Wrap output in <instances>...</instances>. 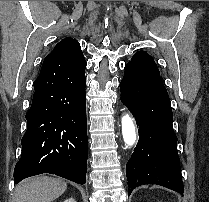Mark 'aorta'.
Segmentation results:
<instances>
[{"instance_id": "aorta-1", "label": "aorta", "mask_w": 209, "mask_h": 202, "mask_svg": "<svg viewBox=\"0 0 209 202\" xmlns=\"http://www.w3.org/2000/svg\"><path fill=\"white\" fill-rule=\"evenodd\" d=\"M122 135L127 146H132L137 140L136 127L129 114H125L122 119Z\"/></svg>"}]
</instances>
